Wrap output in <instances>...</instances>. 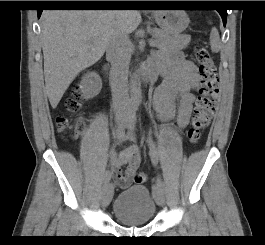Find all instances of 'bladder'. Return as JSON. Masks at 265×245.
Here are the masks:
<instances>
[{
    "label": "bladder",
    "mask_w": 265,
    "mask_h": 245,
    "mask_svg": "<svg viewBox=\"0 0 265 245\" xmlns=\"http://www.w3.org/2000/svg\"><path fill=\"white\" fill-rule=\"evenodd\" d=\"M156 202L143 184H131L116 197L113 206L115 219L126 226H141L151 222Z\"/></svg>",
    "instance_id": "31cf9c89"
}]
</instances>
